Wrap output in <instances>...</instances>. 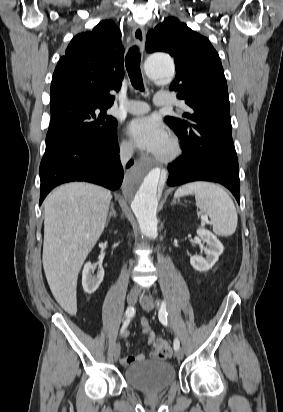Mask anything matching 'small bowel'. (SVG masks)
<instances>
[{"label":"small bowel","mask_w":283,"mask_h":412,"mask_svg":"<svg viewBox=\"0 0 283 412\" xmlns=\"http://www.w3.org/2000/svg\"><path fill=\"white\" fill-rule=\"evenodd\" d=\"M140 324L142 326V331L143 333L147 336V341L149 344H153L155 341V334L152 331L151 327H150V323L148 321L147 318H141L140 319ZM129 334V332L127 331L125 333V336H127ZM146 359L145 354L143 353H139L137 355H128V356H124L121 358V364L123 365H131L135 362H143Z\"/></svg>","instance_id":"c3829d8e"}]
</instances>
